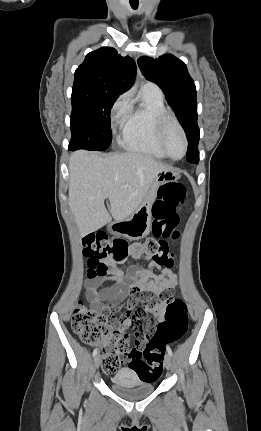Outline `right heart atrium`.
Here are the masks:
<instances>
[{"label": "right heart atrium", "mask_w": 261, "mask_h": 431, "mask_svg": "<svg viewBox=\"0 0 261 431\" xmlns=\"http://www.w3.org/2000/svg\"><path fill=\"white\" fill-rule=\"evenodd\" d=\"M129 107V94L124 93L114 102L111 108L112 127L121 126L123 124Z\"/></svg>", "instance_id": "d8ad5b80"}]
</instances>
